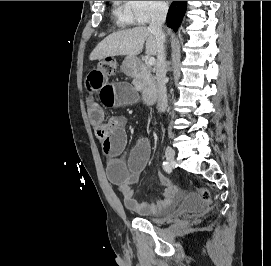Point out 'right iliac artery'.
Wrapping results in <instances>:
<instances>
[{
	"label": "right iliac artery",
	"instance_id": "right-iliac-artery-1",
	"mask_svg": "<svg viewBox=\"0 0 271 266\" xmlns=\"http://www.w3.org/2000/svg\"><path fill=\"white\" fill-rule=\"evenodd\" d=\"M163 169L169 174L172 172V167H171L170 163L167 161L163 162Z\"/></svg>",
	"mask_w": 271,
	"mask_h": 266
}]
</instances>
